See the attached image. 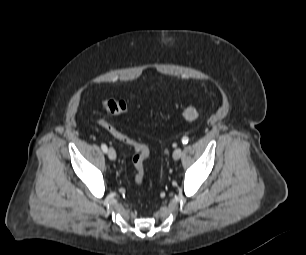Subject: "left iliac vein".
Here are the masks:
<instances>
[{
  "label": "left iliac vein",
  "mask_w": 306,
  "mask_h": 255,
  "mask_svg": "<svg viewBox=\"0 0 306 255\" xmlns=\"http://www.w3.org/2000/svg\"><path fill=\"white\" fill-rule=\"evenodd\" d=\"M182 155V150L180 148H177L174 152H173V159L174 160H178Z\"/></svg>",
  "instance_id": "4c4485c4"
}]
</instances>
